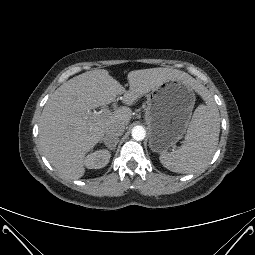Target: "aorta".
Instances as JSON below:
<instances>
[{
  "label": "aorta",
  "instance_id": "aorta-1",
  "mask_svg": "<svg viewBox=\"0 0 255 255\" xmlns=\"http://www.w3.org/2000/svg\"><path fill=\"white\" fill-rule=\"evenodd\" d=\"M132 138L136 141H142L146 136V131L142 126H135L132 129Z\"/></svg>",
  "mask_w": 255,
  "mask_h": 255
}]
</instances>
